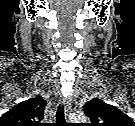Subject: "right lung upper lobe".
Listing matches in <instances>:
<instances>
[{"mask_svg":"<svg viewBox=\"0 0 135 126\" xmlns=\"http://www.w3.org/2000/svg\"><path fill=\"white\" fill-rule=\"evenodd\" d=\"M47 101L35 96L20 102L0 118V126H39Z\"/></svg>","mask_w":135,"mask_h":126,"instance_id":"1","label":"right lung upper lobe"}]
</instances>
